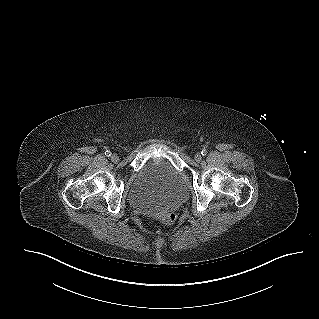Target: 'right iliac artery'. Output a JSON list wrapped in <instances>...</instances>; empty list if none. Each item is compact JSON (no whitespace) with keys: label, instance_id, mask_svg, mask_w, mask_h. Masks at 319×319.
<instances>
[{"label":"right iliac artery","instance_id":"right-iliac-artery-1","mask_svg":"<svg viewBox=\"0 0 319 319\" xmlns=\"http://www.w3.org/2000/svg\"><path fill=\"white\" fill-rule=\"evenodd\" d=\"M105 155H106L107 157H109V156H111V152L107 150V151L105 152Z\"/></svg>","mask_w":319,"mask_h":319}]
</instances>
